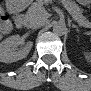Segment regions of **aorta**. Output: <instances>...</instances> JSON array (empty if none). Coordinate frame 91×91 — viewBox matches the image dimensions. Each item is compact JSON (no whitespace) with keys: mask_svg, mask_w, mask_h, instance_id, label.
<instances>
[{"mask_svg":"<svg viewBox=\"0 0 91 91\" xmlns=\"http://www.w3.org/2000/svg\"><path fill=\"white\" fill-rule=\"evenodd\" d=\"M66 25L64 22L56 21L53 23V32L57 35H64L66 33Z\"/></svg>","mask_w":91,"mask_h":91,"instance_id":"obj_1","label":"aorta"}]
</instances>
